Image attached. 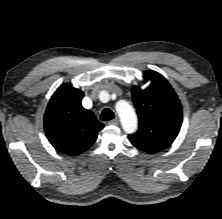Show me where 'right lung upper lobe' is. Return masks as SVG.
Returning a JSON list of instances; mask_svg holds the SVG:
<instances>
[{
  "label": "right lung upper lobe",
  "mask_w": 222,
  "mask_h": 219,
  "mask_svg": "<svg viewBox=\"0 0 222 219\" xmlns=\"http://www.w3.org/2000/svg\"><path fill=\"white\" fill-rule=\"evenodd\" d=\"M84 93L68 84L53 94L44 115V129L52 146L75 156L85 152L104 127L95 115L82 107Z\"/></svg>",
  "instance_id": "right-lung-upper-lobe-1"
}]
</instances>
